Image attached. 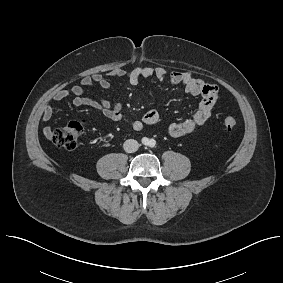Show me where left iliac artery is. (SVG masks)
<instances>
[{
  "label": "left iliac artery",
  "instance_id": "1",
  "mask_svg": "<svg viewBox=\"0 0 283 283\" xmlns=\"http://www.w3.org/2000/svg\"><path fill=\"white\" fill-rule=\"evenodd\" d=\"M155 144H156V141L154 139L150 140V146L151 147L155 146Z\"/></svg>",
  "mask_w": 283,
  "mask_h": 283
}]
</instances>
